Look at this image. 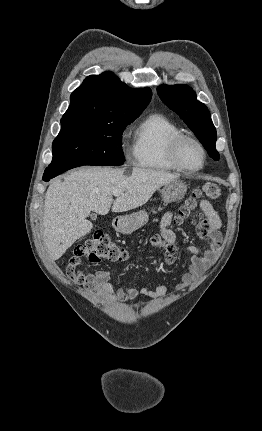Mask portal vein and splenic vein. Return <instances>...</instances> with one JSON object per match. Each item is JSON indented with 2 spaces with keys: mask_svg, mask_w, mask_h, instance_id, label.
<instances>
[{
  "mask_svg": "<svg viewBox=\"0 0 262 431\" xmlns=\"http://www.w3.org/2000/svg\"><path fill=\"white\" fill-rule=\"evenodd\" d=\"M121 194H122V191H120V190L113 191V195L116 197L120 196Z\"/></svg>",
  "mask_w": 262,
  "mask_h": 431,
  "instance_id": "18ae733b",
  "label": "portal vein and splenic vein"
}]
</instances>
